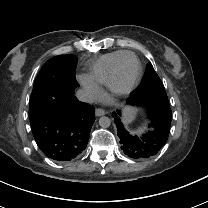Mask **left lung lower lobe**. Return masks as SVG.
I'll return each mask as SVG.
<instances>
[{
    "label": "left lung lower lobe",
    "mask_w": 208,
    "mask_h": 208,
    "mask_svg": "<svg viewBox=\"0 0 208 208\" xmlns=\"http://www.w3.org/2000/svg\"><path fill=\"white\" fill-rule=\"evenodd\" d=\"M130 105H146L149 108V119L151 125L148 131L142 136L131 135L123 126L120 120V111L113 112L112 116L117 127V135L123 152L132 159H148L156 155L165 145L170 131L172 112L169 104H165L156 99L140 98L130 95L127 100Z\"/></svg>",
    "instance_id": "0a47b994"
}]
</instances>
